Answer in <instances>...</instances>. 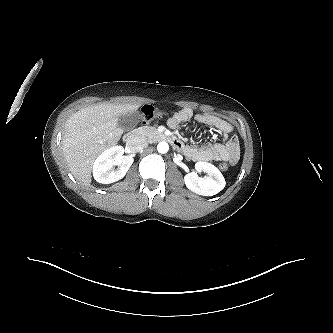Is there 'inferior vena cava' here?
<instances>
[{
	"instance_id": "obj_1",
	"label": "inferior vena cava",
	"mask_w": 333,
	"mask_h": 333,
	"mask_svg": "<svg viewBox=\"0 0 333 333\" xmlns=\"http://www.w3.org/2000/svg\"><path fill=\"white\" fill-rule=\"evenodd\" d=\"M128 148L133 152H138L143 150L148 146V142L144 139L137 138L128 143Z\"/></svg>"
}]
</instances>
